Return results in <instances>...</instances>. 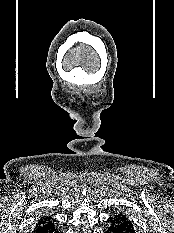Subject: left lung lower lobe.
Returning <instances> with one entry per match:
<instances>
[{
	"mask_svg": "<svg viewBox=\"0 0 174 233\" xmlns=\"http://www.w3.org/2000/svg\"><path fill=\"white\" fill-rule=\"evenodd\" d=\"M108 223L105 233H135L133 223L122 214L109 218Z\"/></svg>",
	"mask_w": 174,
	"mask_h": 233,
	"instance_id": "left-lung-lower-lobe-1",
	"label": "left lung lower lobe"
}]
</instances>
